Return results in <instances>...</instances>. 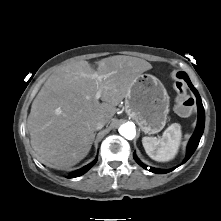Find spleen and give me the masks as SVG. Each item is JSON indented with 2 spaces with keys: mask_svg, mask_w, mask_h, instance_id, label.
<instances>
[{
  "mask_svg": "<svg viewBox=\"0 0 221 221\" xmlns=\"http://www.w3.org/2000/svg\"><path fill=\"white\" fill-rule=\"evenodd\" d=\"M181 137L180 124L173 123L163 132L162 137H143L142 144L151 159L158 162H166L176 156Z\"/></svg>",
  "mask_w": 221,
  "mask_h": 221,
  "instance_id": "3e777b00",
  "label": "spleen"
}]
</instances>
